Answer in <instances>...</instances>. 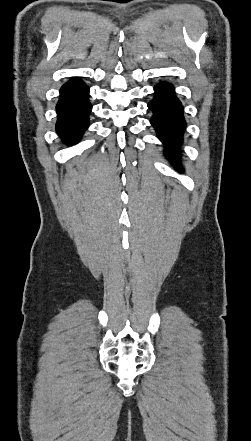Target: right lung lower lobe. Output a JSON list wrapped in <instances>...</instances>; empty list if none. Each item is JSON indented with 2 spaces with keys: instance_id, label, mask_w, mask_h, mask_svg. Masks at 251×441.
Wrapping results in <instances>:
<instances>
[{
  "instance_id": "right-lung-lower-lobe-1",
  "label": "right lung lower lobe",
  "mask_w": 251,
  "mask_h": 441,
  "mask_svg": "<svg viewBox=\"0 0 251 441\" xmlns=\"http://www.w3.org/2000/svg\"><path fill=\"white\" fill-rule=\"evenodd\" d=\"M88 95L89 88L79 78H72L60 89L56 131L65 144L77 143L88 128L92 108Z\"/></svg>"
}]
</instances>
